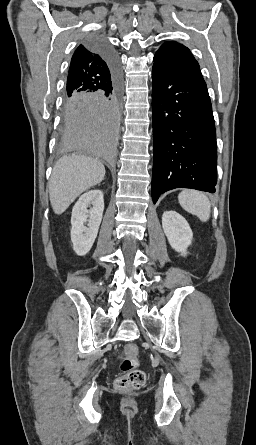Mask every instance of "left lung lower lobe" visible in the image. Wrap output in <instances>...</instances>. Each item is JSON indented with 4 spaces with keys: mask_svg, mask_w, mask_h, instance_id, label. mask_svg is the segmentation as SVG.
<instances>
[{
    "mask_svg": "<svg viewBox=\"0 0 256 445\" xmlns=\"http://www.w3.org/2000/svg\"><path fill=\"white\" fill-rule=\"evenodd\" d=\"M152 198L174 188L215 192L216 131L206 83L152 69Z\"/></svg>",
    "mask_w": 256,
    "mask_h": 445,
    "instance_id": "1",
    "label": "left lung lower lobe"
}]
</instances>
